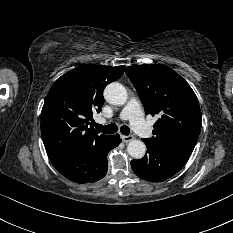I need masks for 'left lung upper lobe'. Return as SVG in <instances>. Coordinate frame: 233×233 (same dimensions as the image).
<instances>
[{
	"mask_svg": "<svg viewBox=\"0 0 233 233\" xmlns=\"http://www.w3.org/2000/svg\"><path fill=\"white\" fill-rule=\"evenodd\" d=\"M146 114L160 117L154 124L155 143L195 147L201 129L198 99L189 84L164 65H135L126 69Z\"/></svg>",
	"mask_w": 233,
	"mask_h": 233,
	"instance_id": "1",
	"label": "left lung upper lobe"
}]
</instances>
